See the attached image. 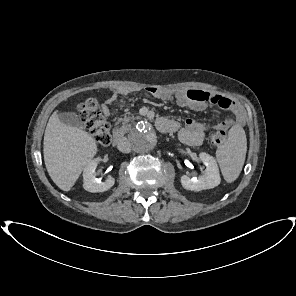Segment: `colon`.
Segmentation results:
<instances>
[{
	"label": "colon",
	"mask_w": 296,
	"mask_h": 296,
	"mask_svg": "<svg viewBox=\"0 0 296 296\" xmlns=\"http://www.w3.org/2000/svg\"><path fill=\"white\" fill-rule=\"evenodd\" d=\"M80 120L90 130L95 141L102 147L111 144V128L103 110L95 99L89 98L81 102L77 107ZM226 132L223 129L213 132L209 137L212 146H219L226 140Z\"/></svg>",
	"instance_id": "5ec220e1"
}]
</instances>
